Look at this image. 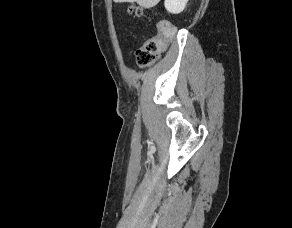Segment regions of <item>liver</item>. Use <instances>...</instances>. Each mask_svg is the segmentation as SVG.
Segmentation results:
<instances>
[{"instance_id": "6515ba94", "label": "liver", "mask_w": 292, "mask_h": 228, "mask_svg": "<svg viewBox=\"0 0 292 228\" xmlns=\"http://www.w3.org/2000/svg\"><path fill=\"white\" fill-rule=\"evenodd\" d=\"M115 2H130V3H133V2H136L137 4H139L140 6L142 7H145V8H151V7H154L155 5H157L160 0H114Z\"/></svg>"}]
</instances>
